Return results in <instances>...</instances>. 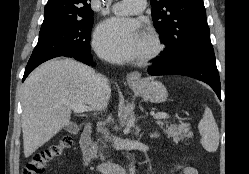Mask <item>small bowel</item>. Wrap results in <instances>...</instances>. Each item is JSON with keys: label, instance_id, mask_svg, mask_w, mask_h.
Listing matches in <instances>:
<instances>
[{"label": "small bowel", "instance_id": "1", "mask_svg": "<svg viewBox=\"0 0 249 174\" xmlns=\"http://www.w3.org/2000/svg\"><path fill=\"white\" fill-rule=\"evenodd\" d=\"M176 169L181 170L183 174H198L194 167L185 164L179 165Z\"/></svg>", "mask_w": 249, "mask_h": 174}]
</instances>
